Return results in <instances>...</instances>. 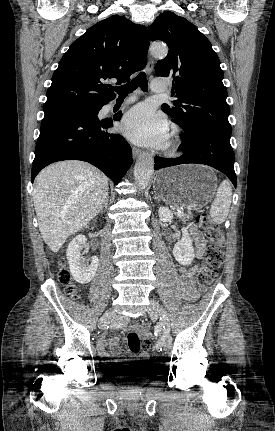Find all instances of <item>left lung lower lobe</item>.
Instances as JSON below:
<instances>
[{"label":"left lung lower lobe","mask_w":275,"mask_h":431,"mask_svg":"<svg viewBox=\"0 0 275 431\" xmlns=\"http://www.w3.org/2000/svg\"><path fill=\"white\" fill-rule=\"evenodd\" d=\"M180 148L186 152L174 159L155 158V169L179 164H205L223 172L236 187L234 152L230 136L218 134H192L181 137Z\"/></svg>","instance_id":"left-lung-lower-lobe-1"}]
</instances>
